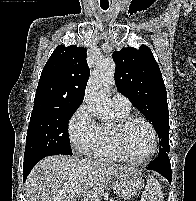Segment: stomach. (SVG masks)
Segmentation results:
<instances>
[{"label":"stomach","instance_id":"obj_1","mask_svg":"<svg viewBox=\"0 0 196 201\" xmlns=\"http://www.w3.org/2000/svg\"><path fill=\"white\" fill-rule=\"evenodd\" d=\"M143 181L136 174L119 176L115 183L116 194L123 199H130L142 188Z\"/></svg>","mask_w":196,"mask_h":201}]
</instances>
